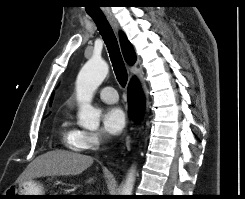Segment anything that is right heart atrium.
<instances>
[{"mask_svg":"<svg viewBox=\"0 0 245 199\" xmlns=\"http://www.w3.org/2000/svg\"><path fill=\"white\" fill-rule=\"evenodd\" d=\"M82 146L85 150H94L105 141V136L100 131H82Z\"/></svg>","mask_w":245,"mask_h":199,"instance_id":"d8ad5b80","label":"right heart atrium"}]
</instances>
